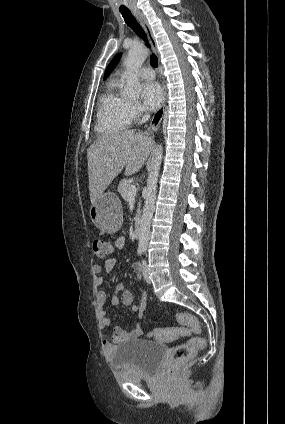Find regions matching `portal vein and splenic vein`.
I'll return each instance as SVG.
<instances>
[{
    "instance_id": "18ae733b",
    "label": "portal vein and splenic vein",
    "mask_w": 285,
    "mask_h": 424,
    "mask_svg": "<svg viewBox=\"0 0 285 424\" xmlns=\"http://www.w3.org/2000/svg\"><path fill=\"white\" fill-rule=\"evenodd\" d=\"M136 191H137L136 186L135 185H131L128 188V196L131 197V198L134 197L136 195Z\"/></svg>"
}]
</instances>
